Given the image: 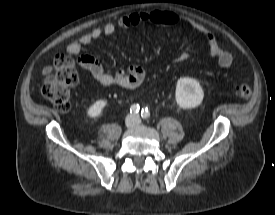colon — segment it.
Here are the masks:
<instances>
[{"mask_svg": "<svg viewBox=\"0 0 275 215\" xmlns=\"http://www.w3.org/2000/svg\"><path fill=\"white\" fill-rule=\"evenodd\" d=\"M44 82L42 95L60 112L70 108L71 89L78 82L71 54L64 52L58 55L53 64L43 71ZM252 90L249 85L240 83L234 87V94L239 98H249Z\"/></svg>", "mask_w": 275, "mask_h": 215, "instance_id": "5ec220e1", "label": "colon"}]
</instances>
